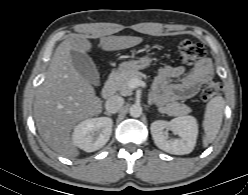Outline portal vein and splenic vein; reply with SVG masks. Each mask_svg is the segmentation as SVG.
<instances>
[{
	"mask_svg": "<svg viewBox=\"0 0 248 195\" xmlns=\"http://www.w3.org/2000/svg\"><path fill=\"white\" fill-rule=\"evenodd\" d=\"M143 85H144V82L138 79H131L129 82V87L132 89L139 87V86H143Z\"/></svg>",
	"mask_w": 248,
	"mask_h": 195,
	"instance_id": "portal-vein-and-splenic-vein-1",
	"label": "portal vein and splenic vein"
}]
</instances>
